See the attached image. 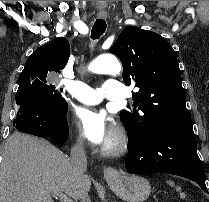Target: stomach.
I'll return each mask as SVG.
<instances>
[{
  "label": "stomach",
  "mask_w": 209,
  "mask_h": 202,
  "mask_svg": "<svg viewBox=\"0 0 209 202\" xmlns=\"http://www.w3.org/2000/svg\"><path fill=\"white\" fill-rule=\"evenodd\" d=\"M111 190L127 202H143L151 194L150 183L140 176L118 175L115 179L107 178Z\"/></svg>",
  "instance_id": "obj_1"
}]
</instances>
